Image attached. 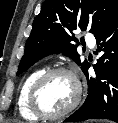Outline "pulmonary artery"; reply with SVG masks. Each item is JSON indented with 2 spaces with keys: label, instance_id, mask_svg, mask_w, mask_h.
<instances>
[{
  "label": "pulmonary artery",
  "instance_id": "1",
  "mask_svg": "<svg viewBox=\"0 0 118 123\" xmlns=\"http://www.w3.org/2000/svg\"><path fill=\"white\" fill-rule=\"evenodd\" d=\"M86 41H87V44H88L91 48H93V47L95 46V44H96L95 39H94L93 36H91V35H87V36H86Z\"/></svg>",
  "mask_w": 118,
  "mask_h": 123
}]
</instances>
